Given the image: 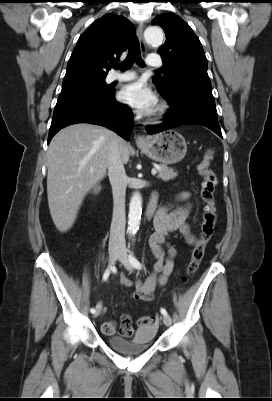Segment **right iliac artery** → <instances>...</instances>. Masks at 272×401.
<instances>
[{"label":"right iliac artery","instance_id":"right-iliac-artery-1","mask_svg":"<svg viewBox=\"0 0 272 401\" xmlns=\"http://www.w3.org/2000/svg\"><path fill=\"white\" fill-rule=\"evenodd\" d=\"M109 275H110V269H107L103 274V277H102L103 281H106L108 279ZM90 311H91V313H94L96 310H95V308H91Z\"/></svg>","mask_w":272,"mask_h":401}]
</instances>
